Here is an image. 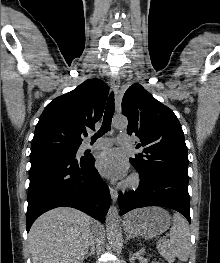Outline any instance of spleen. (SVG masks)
I'll list each match as a JSON object with an SVG mask.
<instances>
[{
    "mask_svg": "<svg viewBox=\"0 0 220 263\" xmlns=\"http://www.w3.org/2000/svg\"><path fill=\"white\" fill-rule=\"evenodd\" d=\"M169 251L181 261L188 260L190 252V230L185 218L175 213L173 226L170 229Z\"/></svg>",
    "mask_w": 220,
    "mask_h": 263,
    "instance_id": "spleen-1",
    "label": "spleen"
}]
</instances>
